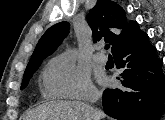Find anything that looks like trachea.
Listing matches in <instances>:
<instances>
[{"label":"trachea","instance_id":"1","mask_svg":"<svg viewBox=\"0 0 165 120\" xmlns=\"http://www.w3.org/2000/svg\"><path fill=\"white\" fill-rule=\"evenodd\" d=\"M110 48V45L109 44H106L105 45V49L108 50Z\"/></svg>","mask_w":165,"mask_h":120}]
</instances>
